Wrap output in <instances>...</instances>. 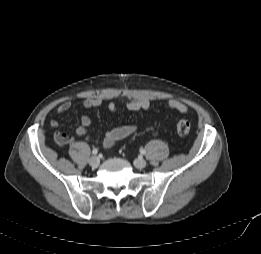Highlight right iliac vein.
Here are the masks:
<instances>
[{
	"instance_id": "63e3f726",
	"label": "right iliac vein",
	"mask_w": 261,
	"mask_h": 254,
	"mask_svg": "<svg viewBox=\"0 0 261 254\" xmlns=\"http://www.w3.org/2000/svg\"><path fill=\"white\" fill-rule=\"evenodd\" d=\"M88 162L92 168H97L99 166L100 159L97 156H92Z\"/></svg>"
}]
</instances>
